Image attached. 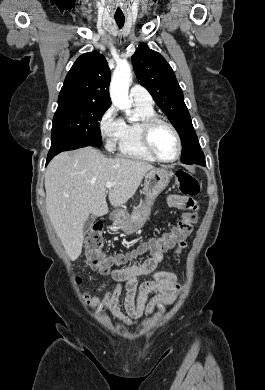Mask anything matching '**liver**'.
<instances>
[{
  "instance_id": "6515ba94",
  "label": "liver",
  "mask_w": 265,
  "mask_h": 390,
  "mask_svg": "<svg viewBox=\"0 0 265 390\" xmlns=\"http://www.w3.org/2000/svg\"><path fill=\"white\" fill-rule=\"evenodd\" d=\"M152 169L144 161L107 158L92 147L62 152L51 160L45 172L46 210L72 261L81 254L88 216L108 213L106 195L114 207L125 204ZM107 182L114 183L111 189Z\"/></svg>"
}]
</instances>
